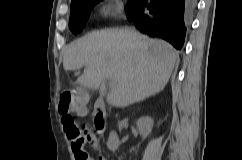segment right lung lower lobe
<instances>
[{"label": "right lung lower lobe", "instance_id": "1", "mask_svg": "<svg viewBox=\"0 0 242 160\" xmlns=\"http://www.w3.org/2000/svg\"><path fill=\"white\" fill-rule=\"evenodd\" d=\"M150 1L149 4L148 0L134 1L126 12L127 19L141 32L165 39L181 49L198 0Z\"/></svg>", "mask_w": 242, "mask_h": 160}]
</instances>
